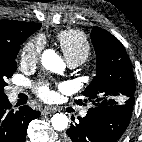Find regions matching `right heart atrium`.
<instances>
[{
	"label": "right heart atrium",
	"mask_w": 142,
	"mask_h": 142,
	"mask_svg": "<svg viewBox=\"0 0 142 142\" xmlns=\"http://www.w3.org/2000/svg\"><path fill=\"white\" fill-rule=\"evenodd\" d=\"M44 44V39L40 36H36L28 40L21 50V64L33 65L37 63L43 51Z\"/></svg>",
	"instance_id": "d8ad5b80"
}]
</instances>
